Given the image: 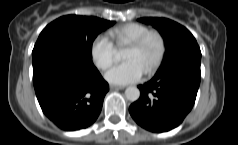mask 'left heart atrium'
Segmentation results:
<instances>
[{"mask_svg": "<svg viewBox=\"0 0 238 145\" xmlns=\"http://www.w3.org/2000/svg\"><path fill=\"white\" fill-rule=\"evenodd\" d=\"M144 74L143 69L134 60L113 65L105 72V78L114 84H128L138 81Z\"/></svg>", "mask_w": 238, "mask_h": 145, "instance_id": "1", "label": "left heart atrium"}]
</instances>
